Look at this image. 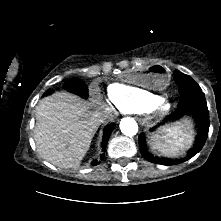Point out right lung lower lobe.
Here are the masks:
<instances>
[{"label":"right lung lower lobe","mask_w":221,"mask_h":221,"mask_svg":"<svg viewBox=\"0 0 221 221\" xmlns=\"http://www.w3.org/2000/svg\"><path fill=\"white\" fill-rule=\"evenodd\" d=\"M114 124H110V125H107L104 129V135H103V139H102V150H105L106 149V145H107V142H108V139L114 129ZM104 158V155H101L100 159H103ZM93 165H97L99 164V161L98 160H95L94 162H92Z\"/></svg>","instance_id":"obj_1"}]
</instances>
